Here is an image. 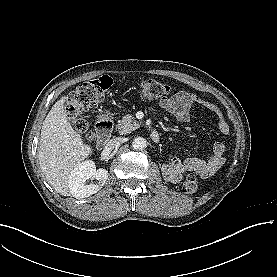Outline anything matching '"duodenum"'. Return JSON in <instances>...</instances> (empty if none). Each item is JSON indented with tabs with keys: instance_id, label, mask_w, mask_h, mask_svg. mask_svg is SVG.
<instances>
[{
	"instance_id": "1",
	"label": "duodenum",
	"mask_w": 277,
	"mask_h": 277,
	"mask_svg": "<svg viewBox=\"0 0 277 277\" xmlns=\"http://www.w3.org/2000/svg\"><path fill=\"white\" fill-rule=\"evenodd\" d=\"M113 122L109 119H101L96 123L95 132L97 136V144L99 146L105 144L112 134ZM150 137L154 142L159 141L160 134L154 129L150 133Z\"/></svg>"
}]
</instances>
